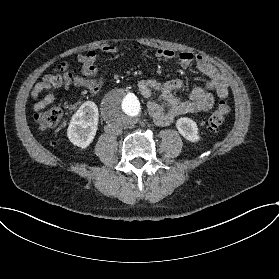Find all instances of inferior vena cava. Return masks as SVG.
Masks as SVG:
<instances>
[{
    "instance_id": "602c4592",
    "label": "inferior vena cava",
    "mask_w": 279,
    "mask_h": 279,
    "mask_svg": "<svg viewBox=\"0 0 279 279\" xmlns=\"http://www.w3.org/2000/svg\"><path fill=\"white\" fill-rule=\"evenodd\" d=\"M107 132L112 135H121L123 131L121 128L109 126Z\"/></svg>"
}]
</instances>
